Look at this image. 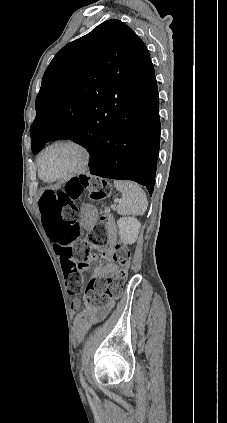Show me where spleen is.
<instances>
[{"mask_svg": "<svg viewBox=\"0 0 227 423\" xmlns=\"http://www.w3.org/2000/svg\"><path fill=\"white\" fill-rule=\"evenodd\" d=\"M116 190L122 194V202L117 206L120 215H143L148 202L145 192L135 182H114Z\"/></svg>", "mask_w": 227, "mask_h": 423, "instance_id": "1", "label": "spleen"}]
</instances>
